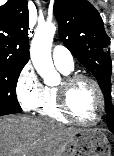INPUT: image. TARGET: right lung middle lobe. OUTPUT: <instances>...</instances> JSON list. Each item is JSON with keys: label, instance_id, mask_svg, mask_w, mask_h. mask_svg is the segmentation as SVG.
Returning a JSON list of instances; mask_svg holds the SVG:
<instances>
[{"label": "right lung middle lobe", "instance_id": "obj_1", "mask_svg": "<svg viewBox=\"0 0 114 156\" xmlns=\"http://www.w3.org/2000/svg\"><path fill=\"white\" fill-rule=\"evenodd\" d=\"M24 66L0 62V114L21 113L16 97V84Z\"/></svg>", "mask_w": 114, "mask_h": 156}]
</instances>
